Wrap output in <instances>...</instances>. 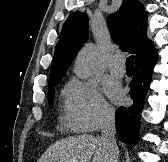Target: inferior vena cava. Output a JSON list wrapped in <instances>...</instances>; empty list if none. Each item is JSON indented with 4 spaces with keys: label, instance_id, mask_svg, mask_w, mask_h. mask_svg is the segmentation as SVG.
Returning a JSON list of instances; mask_svg holds the SVG:
<instances>
[{
    "label": "inferior vena cava",
    "instance_id": "inferior-vena-cava-1",
    "mask_svg": "<svg viewBox=\"0 0 168 162\" xmlns=\"http://www.w3.org/2000/svg\"><path fill=\"white\" fill-rule=\"evenodd\" d=\"M101 139L107 150L110 151L111 162H118L119 149L115 139V112L112 109H105L101 120Z\"/></svg>",
    "mask_w": 168,
    "mask_h": 162
}]
</instances>
